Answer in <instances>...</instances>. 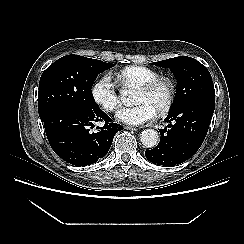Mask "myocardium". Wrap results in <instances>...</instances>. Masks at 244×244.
Masks as SVG:
<instances>
[{"label":"myocardium","mask_w":244,"mask_h":244,"mask_svg":"<svg viewBox=\"0 0 244 244\" xmlns=\"http://www.w3.org/2000/svg\"><path fill=\"white\" fill-rule=\"evenodd\" d=\"M161 85L166 86L168 95L165 103L156 111L159 116L166 115L174 104L176 97V87L174 81L166 76H158L153 80L145 83L144 85L138 87V91L151 93Z\"/></svg>","instance_id":"1"}]
</instances>
